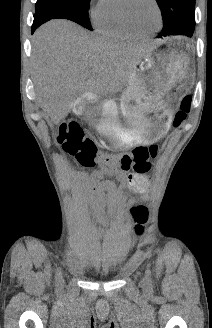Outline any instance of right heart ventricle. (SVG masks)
I'll return each mask as SVG.
<instances>
[{"label": "right heart ventricle", "mask_w": 212, "mask_h": 328, "mask_svg": "<svg viewBox=\"0 0 212 328\" xmlns=\"http://www.w3.org/2000/svg\"><path fill=\"white\" fill-rule=\"evenodd\" d=\"M122 0H100L94 15V24L98 31L109 38L130 40L141 37L130 30L121 14Z\"/></svg>", "instance_id": "e07e8e85"}]
</instances>
